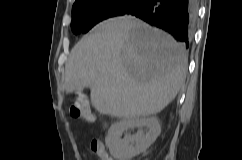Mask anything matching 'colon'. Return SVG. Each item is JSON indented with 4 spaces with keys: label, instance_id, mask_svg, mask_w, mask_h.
<instances>
[{
    "label": "colon",
    "instance_id": "obj_1",
    "mask_svg": "<svg viewBox=\"0 0 242 160\" xmlns=\"http://www.w3.org/2000/svg\"><path fill=\"white\" fill-rule=\"evenodd\" d=\"M70 115L74 118H79L88 122H92L93 112L87 102L86 97L82 93H76L70 101L69 105ZM97 148V145L96 147ZM101 159V155L98 154Z\"/></svg>",
    "mask_w": 242,
    "mask_h": 160
}]
</instances>
